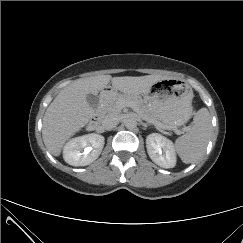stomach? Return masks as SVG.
I'll list each match as a JSON object with an SVG mask.
<instances>
[{"label": "stomach", "mask_w": 243, "mask_h": 243, "mask_svg": "<svg viewBox=\"0 0 243 243\" xmlns=\"http://www.w3.org/2000/svg\"><path fill=\"white\" fill-rule=\"evenodd\" d=\"M193 97L190 86L181 81L161 80L143 94V102L166 128L173 129L189 120Z\"/></svg>", "instance_id": "1"}]
</instances>
